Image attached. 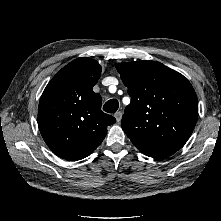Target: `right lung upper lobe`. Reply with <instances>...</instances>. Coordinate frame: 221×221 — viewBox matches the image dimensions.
Listing matches in <instances>:
<instances>
[{
  "label": "right lung upper lobe",
  "mask_w": 221,
  "mask_h": 221,
  "mask_svg": "<svg viewBox=\"0 0 221 221\" xmlns=\"http://www.w3.org/2000/svg\"><path fill=\"white\" fill-rule=\"evenodd\" d=\"M101 66L80 57L63 67L48 83L38 108V126L48 147L59 157L76 161L89 156L116 122L101 111V96L93 86Z\"/></svg>",
  "instance_id": "1"
}]
</instances>
